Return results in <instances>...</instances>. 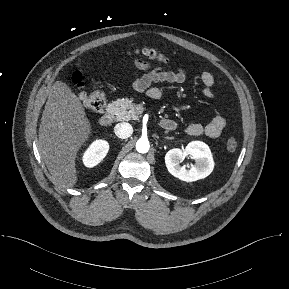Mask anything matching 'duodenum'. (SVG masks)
<instances>
[{"label": "duodenum", "mask_w": 289, "mask_h": 289, "mask_svg": "<svg viewBox=\"0 0 289 289\" xmlns=\"http://www.w3.org/2000/svg\"><path fill=\"white\" fill-rule=\"evenodd\" d=\"M113 112L111 110H107L100 115L99 123L102 126H109L113 122ZM161 127L165 130L172 131L175 128V122L170 119H163L161 121Z\"/></svg>", "instance_id": "410a0bca"}]
</instances>
